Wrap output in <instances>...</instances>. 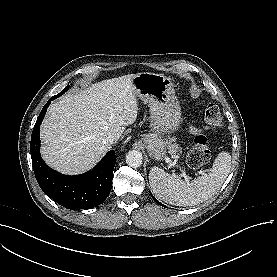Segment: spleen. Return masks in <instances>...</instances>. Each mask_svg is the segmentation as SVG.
<instances>
[{
  "label": "spleen",
  "instance_id": "3e777b00",
  "mask_svg": "<svg viewBox=\"0 0 277 277\" xmlns=\"http://www.w3.org/2000/svg\"><path fill=\"white\" fill-rule=\"evenodd\" d=\"M230 170L231 155L229 152L222 151L215 158L210 172L190 183L158 167L151 168L149 183L152 191L162 201L177 206H193L215 195Z\"/></svg>",
  "mask_w": 277,
  "mask_h": 277
}]
</instances>
